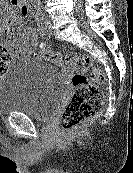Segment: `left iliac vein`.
I'll return each instance as SVG.
<instances>
[{
	"label": "left iliac vein",
	"instance_id": "4c4485c4",
	"mask_svg": "<svg viewBox=\"0 0 133 173\" xmlns=\"http://www.w3.org/2000/svg\"><path fill=\"white\" fill-rule=\"evenodd\" d=\"M50 34H51V22L49 19H46L42 35H50Z\"/></svg>",
	"mask_w": 133,
	"mask_h": 173
}]
</instances>
